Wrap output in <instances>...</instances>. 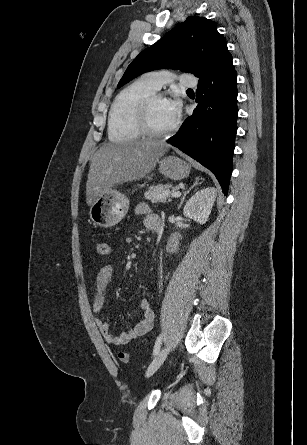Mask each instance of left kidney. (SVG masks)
<instances>
[{
    "label": "left kidney",
    "instance_id": "5707ae66",
    "mask_svg": "<svg viewBox=\"0 0 307 445\" xmlns=\"http://www.w3.org/2000/svg\"><path fill=\"white\" fill-rule=\"evenodd\" d=\"M217 190L215 186H207L195 192L183 208V214L196 220V223L204 225L212 210L214 200L216 198Z\"/></svg>",
    "mask_w": 307,
    "mask_h": 445
}]
</instances>
